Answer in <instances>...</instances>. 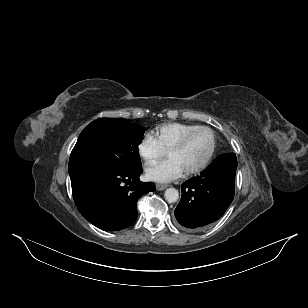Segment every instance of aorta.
<instances>
[{"label": "aorta", "mask_w": 308, "mask_h": 308, "mask_svg": "<svg viewBox=\"0 0 308 308\" xmlns=\"http://www.w3.org/2000/svg\"><path fill=\"white\" fill-rule=\"evenodd\" d=\"M165 199L170 202V203H174L178 200L179 198V192L178 190H176L175 188H168L165 191Z\"/></svg>", "instance_id": "obj_1"}]
</instances>
